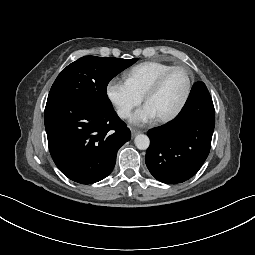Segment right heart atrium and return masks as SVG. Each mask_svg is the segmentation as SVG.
I'll list each match as a JSON object with an SVG mask.
<instances>
[{"label": "right heart atrium", "mask_w": 255, "mask_h": 255, "mask_svg": "<svg viewBox=\"0 0 255 255\" xmlns=\"http://www.w3.org/2000/svg\"><path fill=\"white\" fill-rule=\"evenodd\" d=\"M106 95L122 119L128 118L132 110L143 100V96L134 90L127 81L118 78H112L107 83Z\"/></svg>", "instance_id": "obj_1"}]
</instances>
